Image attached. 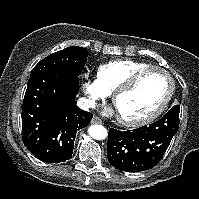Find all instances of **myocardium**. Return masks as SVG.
Masks as SVG:
<instances>
[{"mask_svg":"<svg viewBox=\"0 0 199 199\" xmlns=\"http://www.w3.org/2000/svg\"><path fill=\"white\" fill-rule=\"evenodd\" d=\"M153 71L161 72L167 77L169 82V90L166 97L164 98L163 102L157 107V109L142 118L131 119L119 115V120L122 124L129 127H139L147 125L154 121L156 118H158L169 105L175 92L174 78L172 74L165 68L153 65L135 71L124 83L117 87L113 92V103L116 106L117 100L120 96L130 92L137 85L138 81L143 75Z\"/></svg>","mask_w":199,"mask_h":199,"instance_id":"1","label":"myocardium"}]
</instances>
